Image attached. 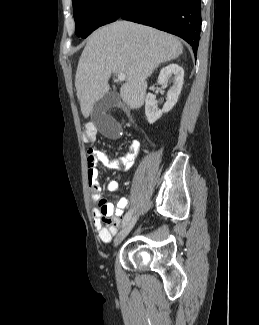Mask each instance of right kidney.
<instances>
[{"mask_svg": "<svg viewBox=\"0 0 259 325\" xmlns=\"http://www.w3.org/2000/svg\"><path fill=\"white\" fill-rule=\"evenodd\" d=\"M173 75V86L167 94V101L163 105L162 110L156 106V96L148 93L145 99V115L150 124L156 122L163 113L169 112L177 103L184 80V70L178 64L172 63L164 67L157 78L159 85H164L167 80Z\"/></svg>", "mask_w": 259, "mask_h": 325, "instance_id": "right-kidney-1", "label": "right kidney"}]
</instances>
